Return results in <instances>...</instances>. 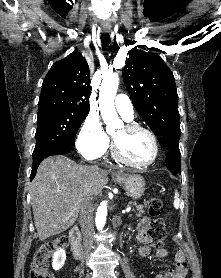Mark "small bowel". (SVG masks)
<instances>
[{"label": "small bowel", "instance_id": "small-bowel-1", "mask_svg": "<svg viewBox=\"0 0 221 278\" xmlns=\"http://www.w3.org/2000/svg\"><path fill=\"white\" fill-rule=\"evenodd\" d=\"M150 225V219L143 217L137 226V240L141 244L138 248V254L140 256H148L151 252L148 246V228ZM156 256L160 259L168 257V251L165 248L159 247L156 249ZM187 273V263L185 255L182 251H177L175 255V269L171 274H159L155 278H185Z\"/></svg>", "mask_w": 221, "mask_h": 278}]
</instances>
